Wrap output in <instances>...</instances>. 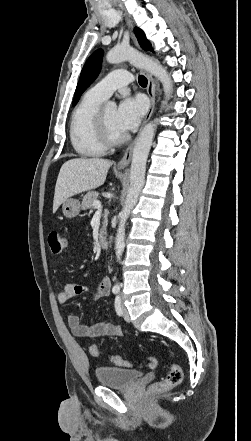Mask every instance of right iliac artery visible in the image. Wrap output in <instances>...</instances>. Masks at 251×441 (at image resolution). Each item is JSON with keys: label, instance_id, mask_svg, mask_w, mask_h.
Instances as JSON below:
<instances>
[{"label": "right iliac artery", "instance_id": "82829eb1", "mask_svg": "<svg viewBox=\"0 0 251 441\" xmlns=\"http://www.w3.org/2000/svg\"><path fill=\"white\" fill-rule=\"evenodd\" d=\"M112 291H113L114 294H117L119 292V288H113Z\"/></svg>", "mask_w": 251, "mask_h": 441}]
</instances>
